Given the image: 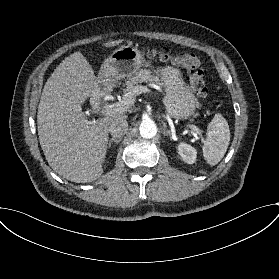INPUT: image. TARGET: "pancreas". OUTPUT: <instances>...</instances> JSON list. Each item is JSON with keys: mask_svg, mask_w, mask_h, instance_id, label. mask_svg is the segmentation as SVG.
Here are the masks:
<instances>
[{"mask_svg": "<svg viewBox=\"0 0 279 279\" xmlns=\"http://www.w3.org/2000/svg\"><path fill=\"white\" fill-rule=\"evenodd\" d=\"M142 82H148V83H155L158 84L159 78L154 76L149 69H140L135 76L130 77L127 81H125L124 86H126L125 89H123L124 94L132 92L135 88V85L142 83ZM133 101L135 99V96L132 97ZM124 106V105H122ZM132 104H128L124 107L127 109L130 108Z\"/></svg>", "mask_w": 279, "mask_h": 279, "instance_id": "pancreas-1", "label": "pancreas"}]
</instances>
